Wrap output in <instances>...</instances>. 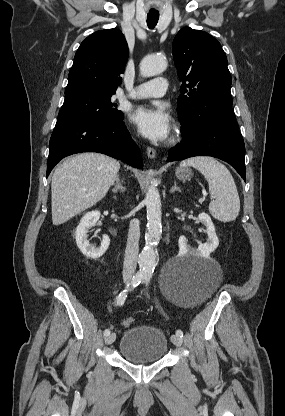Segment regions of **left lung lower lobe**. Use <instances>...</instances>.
<instances>
[{
  "mask_svg": "<svg viewBox=\"0 0 285 416\" xmlns=\"http://www.w3.org/2000/svg\"><path fill=\"white\" fill-rule=\"evenodd\" d=\"M183 140L169 151L167 162L193 156H212L232 165L246 181L245 145L235 119L205 123L183 134Z\"/></svg>",
  "mask_w": 285,
  "mask_h": 416,
  "instance_id": "obj_1",
  "label": "left lung lower lobe"
}]
</instances>
